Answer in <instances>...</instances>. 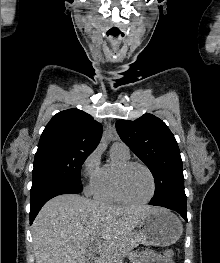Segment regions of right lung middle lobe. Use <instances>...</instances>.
<instances>
[{
  "mask_svg": "<svg viewBox=\"0 0 220 263\" xmlns=\"http://www.w3.org/2000/svg\"><path fill=\"white\" fill-rule=\"evenodd\" d=\"M92 151L48 149L36 152L32 184L42 180H60L80 185L82 164Z\"/></svg>",
  "mask_w": 220,
  "mask_h": 263,
  "instance_id": "dd1d6c3e",
  "label": "right lung middle lobe"
}]
</instances>
